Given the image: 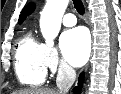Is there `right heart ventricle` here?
I'll list each match as a JSON object with an SVG mask.
<instances>
[{"label":"right heart ventricle","mask_w":121,"mask_h":94,"mask_svg":"<svg viewBox=\"0 0 121 94\" xmlns=\"http://www.w3.org/2000/svg\"><path fill=\"white\" fill-rule=\"evenodd\" d=\"M15 70L21 84L28 87L40 86L46 78L43 59V44L38 43L31 32L24 33L17 42Z\"/></svg>","instance_id":"right-heart-ventricle-1"}]
</instances>
